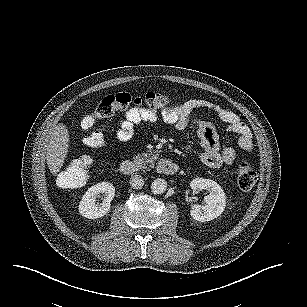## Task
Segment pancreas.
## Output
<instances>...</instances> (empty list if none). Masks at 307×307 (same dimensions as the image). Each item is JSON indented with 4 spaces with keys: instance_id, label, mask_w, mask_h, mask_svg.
<instances>
[{
    "instance_id": "cf45deb5",
    "label": "pancreas",
    "mask_w": 307,
    "mask_h": 307,
    "mask_svg": "<svg viewBox=\"0 0 307 307\" xmlns=\"http://www.w3.org/2000/svg\"><path fill=\"white\" fill-rule=\"evenodd\" d=\"M157 156L152 152L137 154L134 163L139 170H151L155 166Z\"/></svg>"
}]
</instances>
